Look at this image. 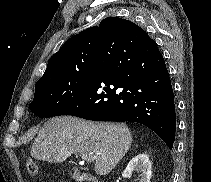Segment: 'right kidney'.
I'll list each match as a JSON object with an SVG mask.
<instances>
[{
  "label": "right kidney",
  "instance_id": "obj_1",
  "mask_svg": "<svg viewBox=\"0 0 211 182\" xmlns=\"http://www.w3.org/2000/svg\"><path fill=\"white\" fill-rule=\"evenodd\" d=\"M151 162L146 154H139L134 157L127 165L123 172L124 178H130L132 173H139V182H150L151 179Z\"/></svg>",
  "mask_w": 211,
  "mask_h": 182
}]
</instances>
